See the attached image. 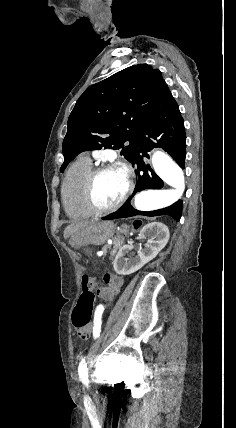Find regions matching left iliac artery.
I'll return each mask as SVG.
<instances>
[{
	"mask_svg": "<svg viewBox=\"0 0 236 428\" xmlns=\"http://www.w3.org/2000/svg\"><path fill=\"white\" fill-rule=\"evenodd\" d=\"M103 311H104L103 305L97 306L95 315H94V327H93V336L95 339L100 336L101 324H102L101 318H102ZM86 366H87V363H85V358H83L78 367V373L80 377H88V371Z\"/></svg>",
	"mask_w": 236,
	"mask_h": 428,
	"instance_id": "left-iliac-artery-1",
	"label": "left iliac artery"
}]
</instances>
